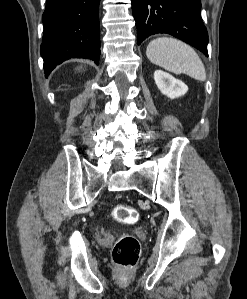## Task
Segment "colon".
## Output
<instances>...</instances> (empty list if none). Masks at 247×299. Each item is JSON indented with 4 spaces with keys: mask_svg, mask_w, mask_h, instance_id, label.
Masks as SVG:
<instances>
[{
    "mask_svg": "<svg viewBox=\"0 0 247 299\" xmlns=\"http://www.w3.org/2000/svg\"><path fill=\"white\" fill-rule=\"evenodd\" d=\"M114 219L122 224H133L138 220L137 210L129 205H117L113 210ZM140 255V244L136 237L129 234L120 236L113 248L112 259L123 269L132 268Z\"/></svg>",
    "mask_w": 247,
    "mask_h": 299,
    "instance_id": "obj_1",
    "label": "colon"
}]
</instances>
